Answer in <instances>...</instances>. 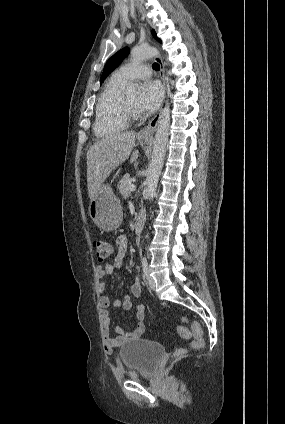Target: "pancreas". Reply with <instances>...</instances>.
<instances>
[{"mask_svg":"<svg viewBox=\"0 0 285 424\" xmlns=\"http://www.w3.org/2000/svg\"><path fill=\"white\" fill-rule=\"evenodd\" d=\"M130 185H132V178L129 174H125L118 184L119 192L124 198L131 194V191L129 190Z\"/></svg>","mask_w":285,"mask_h":424,"instance_id":"obj_1","label":"pancreas"}]
</instances>
